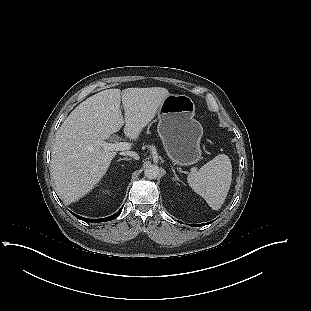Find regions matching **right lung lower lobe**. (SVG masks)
I'll use <instances>...</instances> for the list:
<instances>
[{"label":"right lung lower lobe","mask_w":311,"mask_h":311,"mask_svg":"<svg viewBox=\"0 0 311 311\" xmlns=\"http://www.w3.org/2000/svg\"><path fill=\"white\" fill-rule=\"evenodd\" d=\"M121 211H122V208L117 213H115L114 215L109 216L107 218H102V219H87V218H83L81 216H78L76 214H73V213L72 214L75 217H77L78 219L86 221V222H105V221H110V220H113V219L117 218L119 216V214L121 213Z\"/></svg>","instance_id":"right-lung-lower-lobe-1"}]
</instances>
